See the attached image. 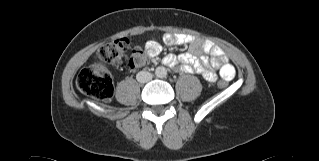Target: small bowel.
Listing matches in <instances>:
<instances>
[{"mask_svg": "<svg viewBox=\"0 0 319 161\" xmlns=\"http://www.w3.org/2000/svg\"><path fill=\"white\" fill-rule=\"evenodd\" d=\"M164 42L168 45H188L190 51L183 53L178 57L170 56L166 60V64L174 69H179L183 73H190L192 71L201 74L207 81H214L216 79L215 73L207 69V61L203 54L210 53L212 55L211 66L218 69L220 76L225 80H230L235 75V69L230 64L223 52V50L212 44L210 41H202L199 38L185 33L179 34H165ZM145 47L151 56H155L159 51V43L155 39H150L145 42ZM181 62L182 66L178 67Z\"/></svg>", "mask_w": 319, "mask_h": 161, "instance_id": "c3829d8e", "label": "small bowel"}]
</instances>
